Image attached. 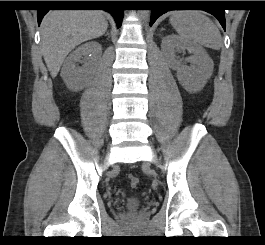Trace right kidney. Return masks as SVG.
Masks as SVG:
<instances>
[{
  "label": "right kidney",
  "mask_w": 265,
  "mask_h": 245,
  "mask_svg": "<svg viewBox=\"0 0 265 245\" xmlns=\"http://www.w3.org/2000/svg\"><path fill=\"white\" fill-rule=\"evenodd\" d=\"M102 54V46L96 41L87 42L79 46L65 60L61 77L70 90H82L87 82L88 77L96 70ZM83 57H88L84 65L76 67V63Z\"/></svg>",
  "instance_id": "right-kidney-1"
}]
</instances>
